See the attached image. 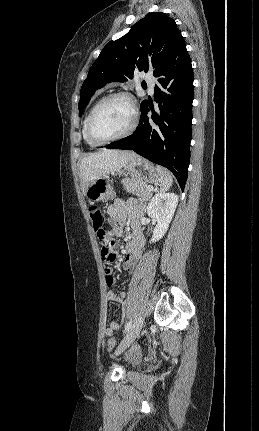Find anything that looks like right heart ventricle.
<instances>
[{
    "label": "right heart ventricle",
    "instance_id": "1",
    "mask_svg": "<svg viewBox=\"0 0 259 431\" xmlns=\"http://www.w3.org/2000/svg\"><path fill=\"white\" fill-rule=\"evenodd\" d=\"M96 105V104H95ZM95 105H93L92 107H91V109L88 111V113L86 114V116H85V118H84V121H83V126H82V134H83V138H84V140H85V142L89 145V146H91V147H96L97 145L96 144H94L93 142H91L90 141V139L88 138V136H87V122H88V118H89V115H90V113H91V111H92V109L94 108V106Z\"/></svg>",
    "mask_w": 259,
    "mask_h": 431
}]
</instances>
